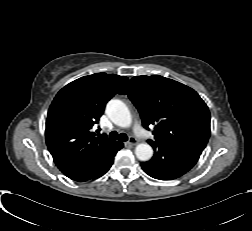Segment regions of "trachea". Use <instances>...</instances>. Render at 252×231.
<instances>
[{
	"instance_id": "1",
	"label": "trachea",
	"mask_w": 252,
	"mask_h": 231,
	"mask_svg": "<svg viewBox=\"0 0 252 231\" xmlns=\"http://www.w3.org/2000/svg\"><path fill=\"white\" fill-rule=\"evenodd\" d=\"M110 139L112 140H120L122 142H125L128 140V137L125 133L118 134L116 131H112L109 135Z\"/></svg>"
}]
</instances>
